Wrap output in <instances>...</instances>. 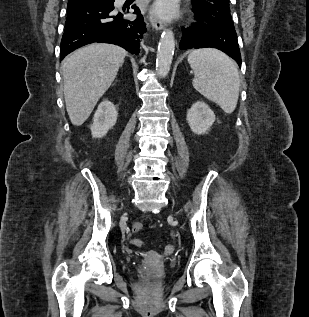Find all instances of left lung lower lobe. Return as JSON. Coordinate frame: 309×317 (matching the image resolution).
I'll list each match as a JSON object with an SVG mask.
<instances>
[{"label":"left lung lower lobe","instance_id":"left-lung-lower-lobe-1","mask_svg":"<svg viewBox=\"0 0 309 317\" xmlns=\"http://www.w3.org/2000/svg\"><path fill=\"white\" fill-rule=\"evenodd\" d=\"M195 12L197 23L183 29L180 49L217 48L232 57L241 67V54L235 28L221 25L217 20Z\"/></svg>","mask_w":309,"mask_h":317}]
</instances>
